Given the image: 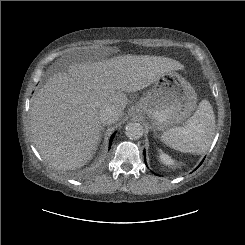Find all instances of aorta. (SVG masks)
I'll list each match as a JSON object with an SVG mask.
<instances>
[{"instance_id":"aorta-1","label":"aorta","mask_w":245,"mask_h":245,"mask_svg":"<svg viewBox=\"0 0 245 245\" xmlns=\"http://www.w3.org/2000/svg\"><path fill=\"white\" fill-rule=\"evenodd\" d=\"M144 129L140 123H128L125 128L126 136L131 140H137L143 136Z\"/></svg>"}]
</instances>
